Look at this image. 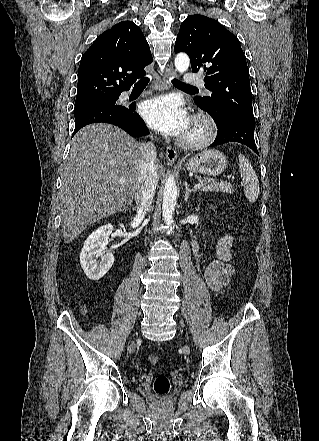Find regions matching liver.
Masks as SVG:
<instances>
[{"mask_svg": "<svg viewBox=\"0 0 319 441\" xmlns=\"http://www.w3.org/2000/svg\"><path fill=\"white\" fill-rule=\"evenodd\" d=\"M139 147L125 131L107 123L87 125L76 133L61 172L66 243L75 240L90 224L131 204L139 185ZM156 172H163L160 162L156 163Z\"/></svg>", "mask_w": 319, "mask_h": 441, "instance_id": "obj_1", "label": "liver"}]
</instances>
